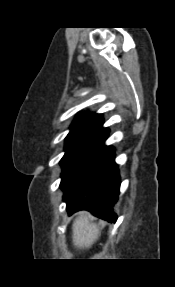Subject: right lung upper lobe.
Here are the masks:
<instances>
[{
	"mask_svg": "<svg viewBox=\"0 0 175 287\" xmlns=\"http://www.w3.org/2000/svg\"><path fill=\"white\" fill-rule=\"evenodd\" d=\"M103 125V117L96 113H82L76 117L71 125L72 129L83 127H101Z\"/></svg>",
	"mask_w": 175,
	"mask_h": 287,
	"instance_id": "1",
	"label": "right lung upper lobe"
}]
</instances>
